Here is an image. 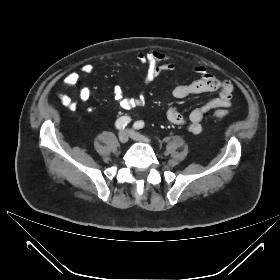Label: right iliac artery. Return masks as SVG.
Listing matches in <instances>:
<instances>
[{
	"label": "right iliac artery",
	"instance_id": "obj_1",
	"mask_svg": "<svg viewBox=\"0 0 280 280\" xmlns=\"http://www.w3.org/2000/svg\"><path fill=\"white\" fill-rule=\"evenodd\" d=\"M131 121V118L129 116H122L118 118L115 122V127L118 130L124 129Z\"/></svg>",
	"mask_w": 280,
	"mask_h": 280
}]
</instances>
